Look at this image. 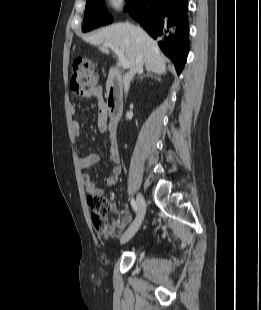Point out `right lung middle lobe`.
Segmentation results:
<instances>
[{"instance_id":"right-lung-middle-lobe-1","label":"right lung middle lobe","mask_w":261,"mask_h":310,"mask_svg":"<svg viewBox=\"0 0 261 310\" xmlns=\"http://www.w3.org/2000/svg\"><path fill=\"white\" fill-rule=\"evenodd\" d=\"M127 2L129 0H126ZM112 21L104 0H86V8L84 14V25L82 31H90L98 26L106 25Z\"/></svg>"}]
</instances>
